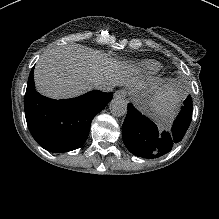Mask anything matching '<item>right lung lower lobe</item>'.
<instances>
[{
  "instance_id": "98d812e1",
  "label": "right lung lower lobe",
  "mask_w": 219,
  "mask_h": 219,
  "mask_svg": "<svg viewBox=\"0 0 219 219\" xmlns=\"http://www.w3.org/2000/svg\"><path fill=\"white\" fill-rule=\"evenodd\" d=\"M111 99L112 93L101 91L65 100L44 97L35 90L32 69L24 100L27 125L46 150H74L86 141L92 119Z\"/></svg>"
}]
</instances>
